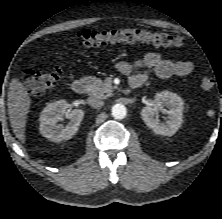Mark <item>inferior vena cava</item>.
<instances>
[{
    "label": "inferior vena cava",
    "instance_id": "inferior-vena-cava-1",
    "mask_svg": "<svg viewBox=\"0 0 222 219\" xmlns=\"http://www.w3.org/2000/svg\"><path fill=\"white\" fill-rule=\"evenodd\" d=\"M87 101L93 108H101L104 105V101L98 97H89Z\"/></svg>",
    "mask_w": 222,
    "mask_h": 219
}]
</instances>
